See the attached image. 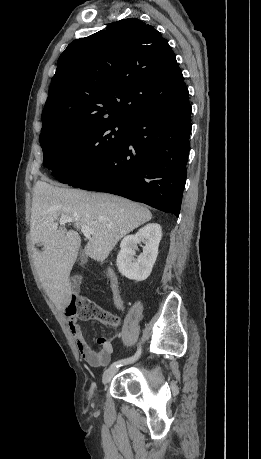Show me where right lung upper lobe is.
<instances>
[{"instance_id":"cb5924a9","label":"right lung upper lobe","mask_w":261,"mask_h":459,"mask_svg":"<svg viewBox=\"0 0 261 459\" xmlns=\"http://www.w3.org/2000/svg\"><path fill=\"white\" fill-rule=\"evenodd\" d=\"M186 87L168 42L136 18L74 40L58 59L41 133L133 119L174 100Z\"/></svg>"}]
</instances>
